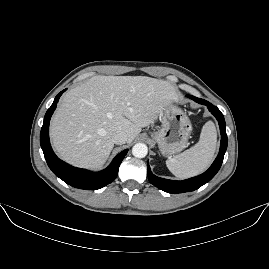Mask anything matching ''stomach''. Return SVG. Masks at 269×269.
<instances>
[{
	"mask_svg": "<svg viewBox=\"0 0 269 269\" xmlns=\"http://www.w3.org/2000/svg\"><path fill=\"white\" fill-rule=\"evenodd\" d=\"M161 127L151 133V138L158 144L162 156L181 152L188 142L192 125L188 117L175 106H168L161 114Z\"/></svg>",
	"mask_w": 269,
	"mask_h": 269,
	"instance_id": "1",
	"label": "stomach"
}]
</instances>
